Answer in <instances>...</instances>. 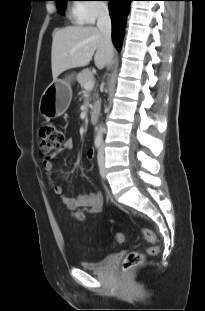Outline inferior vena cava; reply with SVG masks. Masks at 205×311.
<instances>
[{
	"label": "inferior vena cava",
	"mask_w": 205,
	"mask_h": 311,
	"mask_svg": "<svg viewBox=\"0 0 205 311\" xmlns=\"http://www.w3.org/2000/svg\"><path fill=\"white\" fill-rule=\"evenodd\" d=\"M97 27L102 33L105 44L109 48V51H111V49L113 48L112 40H111V19L109 16V11L105 7L99 10L98 19H97ZM110 59L111 57L109 54L108 63L110 62Z\"/></svg>",
	"instance_id": "1"
}]
</instances>
